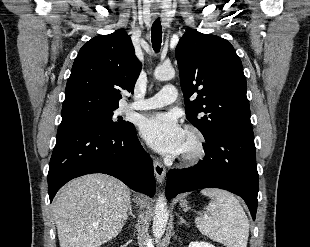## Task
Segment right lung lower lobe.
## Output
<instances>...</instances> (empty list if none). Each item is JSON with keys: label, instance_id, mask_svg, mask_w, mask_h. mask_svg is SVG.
Masks as SVG:
<instances>
[{"label": "right lung lower lobe", "instance_id": "1", "mask_svg": "<svg viewBox=\"0 0 310 247\" xmlns=\"http://www.w3.org/2000/svg\"><path fill=\"white\" fill-rule=\"evenodd\" d=\"M91 173L114 176L150 197L155 194L153 162L132 123L122 130L84 122L59 126L48 172L50 202L65 183Z\"/></svg>", "mask_w": 310, "mask_h": 247}]
</instances>
